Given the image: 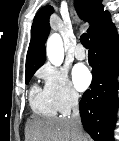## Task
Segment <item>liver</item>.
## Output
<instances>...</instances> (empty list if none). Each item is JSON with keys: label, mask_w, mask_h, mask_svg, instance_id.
Returning a JSON list of instances; mask_svg holds the SVG:
<instances>
[{"label": "liver", "mask_w": 119, "mask_h": 141, "mask_svg": "<svg viewBox=\"0 0 119 141\" xmlns=\"http://www.w3.org/2000/svg\"><path fill=\"white\" fill-rule=\"evenodd\" d=\"M27 141H88L81 130L76 131L69 118L32 117L26 123Z\"/></svg>", "instance_id": "1"}]
</instances>
